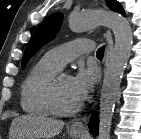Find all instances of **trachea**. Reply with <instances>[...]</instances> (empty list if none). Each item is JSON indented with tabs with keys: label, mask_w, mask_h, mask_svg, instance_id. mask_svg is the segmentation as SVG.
Returning <instances> with one entry per match:
<instances>
[{
	"label": "trachea",
	"mask_w": 141,
	"mask_h": 139,
	"mask_svg": "<svg viewBox=\"0 0 141 139\" xmlns=\"http://www.w3.org/2000/svg\"><path fill=\"white\" fill-rule=\"evenodd\" d=\"M104 55V46L100 47L98 50H97V53H96V56L97 57H103Z\"/></svg>",
	"instance_id": "3493384b"
}]
</instances>
